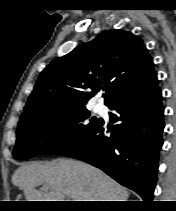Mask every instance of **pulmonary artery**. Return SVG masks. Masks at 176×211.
Masks as SVG:
<instances>
[{
  "mask_svg": "<svg viewBox=\"0 0 176 211\" xmlns=\"http://www.w3.org/2000/svg\"><path fill=\"white\" fill-rule=\"evenodd\" d=\"M96 109H97V111H99V112L104 111V107H103V105L100 104V103L96 105Z\"/></svg>",
  "mask_w": 176,
  "mask_h": 211,
  "instance_id": "obj_1",
  "label": "pulmonary artery"
}]
</instances>
